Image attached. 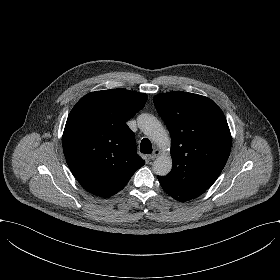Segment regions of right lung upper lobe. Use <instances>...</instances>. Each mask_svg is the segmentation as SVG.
I'll return each instance as SVG.
<instances>
[{"label": "right lung upper lobe", "mask_w": 280, "mask_h": 280, "mask_svg": "<svg viewBox=\"0 0 280 280\" xmlns=\"http://www.w3.org/2000/svg\"><path fill=\"white\" fill-rule=\"evenodd\" d=\"M147 95L124 89L95 91L71 110L62 137L67 164L84 189L110 197L145 164L136 153L126 121L141 110Z\"/></svg>", "instance_id": "cb5924a9"}]
</instances>
